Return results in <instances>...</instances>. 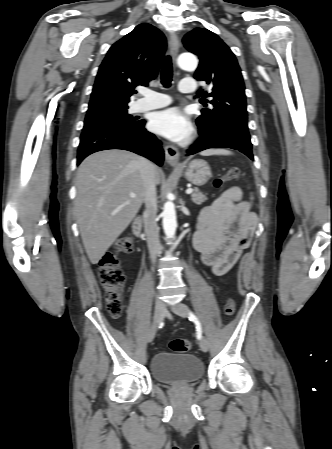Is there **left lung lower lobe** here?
<instances>
[{
	"label": "left lung lower lobe",
	"mask_w": 332,
	"mask_h": 449,
	"mask_svg": "<svg viewBox=\"0 0 332 449\" xmlns=\"http://www.w3.org/2000/svg\"><path fill=\"white\" fill-rule=\"evenodd\" d=\"M199 139L188 151V155L215 148H232L239 150L253 160L252 143L247 123L228 122L213 128L209 133L199 130Z\"/></svg>",
	"instance_id": "left-lung-lower-lobe-1"
}]
</instances>
